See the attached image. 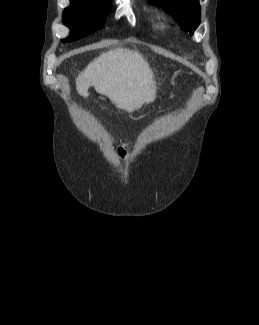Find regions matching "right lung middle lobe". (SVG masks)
<instances>
[{"label":"right lung middle lobe","mask_w":259,"mask_h":325,"mask_svg":"<svg viewBox=\"0 0 259 325\" xmlns=\"http://www.w3.org/2000/svg\"><path fill=\"white\" fill-rule=\"evenodd\" d=\"M108 8V0H70L63 12V23L71 32L62 42H72L101 29Z\"/></svg>","instance_id":"obj_1"}]
</instances>
